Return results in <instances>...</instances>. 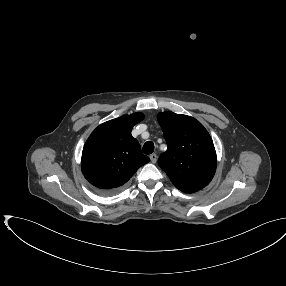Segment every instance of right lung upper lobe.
I'll return each mask as SVG.
<instances>
[{
	"label": "right lung upper lobe",
	"mask_w": 286,
	"mask_h": 286,
	"mask_svg": "<svg viewBox=\"0 0 286 286\" xmlns=\"http://www.w3.org/2000/svg\"><path fill=\"white\" fill-rule=\"evenodd\" d=\"M142 113L125 115L98 126L86 141L81 159L82 173L98 190L111 193L125 184L150 161L132 137V127Z\"/></svg>",
	"instance_id": "right-lung-upper-lobe-1"
}]
</instances>
